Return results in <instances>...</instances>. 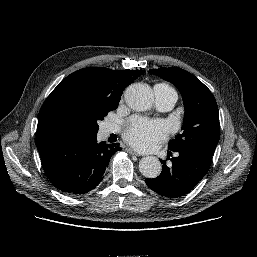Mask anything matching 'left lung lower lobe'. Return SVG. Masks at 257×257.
<instances>
[{
	"label": "left lung lower lobe",
	"mask_w": 257,
	"mask_h": 257,
	"mask_svg": "<svg viewBox=\"0 0 257 257\" xmlns=\"http://www.w3.org/2000/svg\"><path fill=\"white\" fill-rule=\"evenodd\" d=\"M177 157L171 158L172 163L160 160L161 174L153 179H146L149 188L161 196L178 198L188 194L204 177L210 168L213 154L199 148L178 149Z\"/></svg>",
	"instance_id": "1"
}]
</instances>
